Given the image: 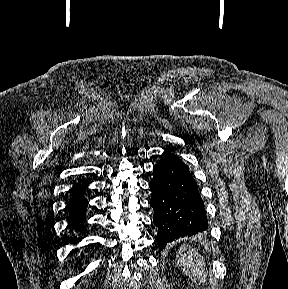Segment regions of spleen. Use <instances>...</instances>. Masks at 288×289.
I'll use <instances>...</instances> for the list:
<instances>
[{"label":"spleen","mask_w":288,"mask_h":289,"mask_svg":"<svg viewBox=\"0 0 288 289\" xmlns=\"http://www.w3.org/2000/svg\"><path fill=\"white\" fill-rule=\"evenodd\" d=\"M177 264L186 276L199 284L205 283L207 273L205 272L204 258L189 245H182L176 254Z\"/></svg>","instance_id":"1"}]
</instances>
